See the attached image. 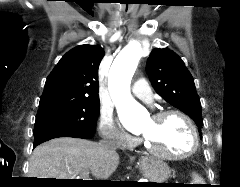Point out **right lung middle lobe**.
Segmentation results:
<instances>
[{
    "mask_svg": "<svg viewBox=\"0 0 240 187\" xmlns=\"http://www.w3.org/2000/svg\"><path fill=\"white\" fill-rule=\"evenodd\" d=\"M99 111V100L39 105L34 136L51 130L68 131L84 136L93 135Z\"/></svg>",
    "mask_w": 240,
    "mask_h": 187,
    "instance_id": "dd1d6c3e",
    "label": "right lung middle lobe"
}]
</instances>
